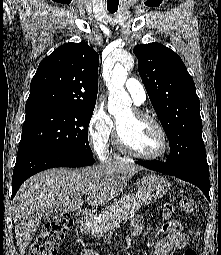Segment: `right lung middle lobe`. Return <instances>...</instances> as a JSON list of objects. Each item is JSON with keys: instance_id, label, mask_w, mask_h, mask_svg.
Returning a JSON list of instances; mask_svg holds the SVG:
<instances>
[{"instance_id": "right-lung-middle-lobe-1", "label": "right lung middle lobe", "mask_w": 221, "mask_h": 255, "mask_svg": "<svg viewBox=\"0 0 221 255\" xmlns=\"http://www.w3.org/2000/svg\"><path fill=\"white\" fill-rule=\"evenodd\" d=\"M95 105L26 111L19 146H37L93 157L88 126Z\"/></svg>"}]
</instances>
